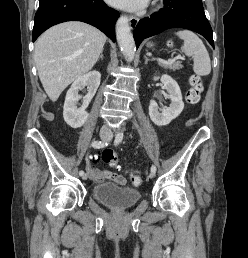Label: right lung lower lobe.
Returning a JSON list of instances; mask_svg holds the SVG:
<instances>
[{"instance_id": "obj_1", "label": "right lung lower lobe", "mask_w": 248, "mask_h": 258, "mask_svg": "<svg viewBox=\"0 0 248 258\" xmlns=\"http://www.w3.org/2000/svg\"><path fill=\"white\" fill-rule=\"evenodd\" d=\"M35 15L33 42L49 27L65 21H82L104 32L116 41L115 23L119 12L103 0H39Z\"/></svg>"}]
</instances>
